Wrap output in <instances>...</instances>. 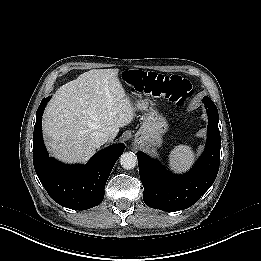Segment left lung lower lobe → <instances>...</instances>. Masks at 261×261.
Instances as JSON below:
<instances>
[{
  "label": "left lung lower lobe",
  "mask_w": 261,
  "mask_h": 261,
  "mask_svg": "<svg viewBox=\"0 0 261 261\" xmlns=\"http://www.w3.org/2000/svg\"><path fill=\"white\" fill-rule=\"evenodd\" d=\"M208 114L206 148L185 175H174L143 152H137L143 200L151 208L178 211L195 204L213 184L220 164L221 139L218 111L209 97L203 99Z\"/></svg>",
  "instance_id": "1"
}]
</instances>
